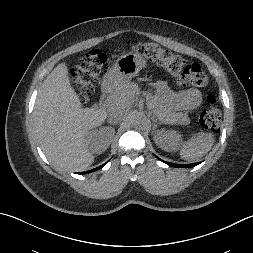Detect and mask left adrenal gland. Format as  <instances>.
<instances>
[{"label": "left adrenal gland", "mask_w": 253, "mask_h": 253, "mask_svg": "<svg viewBox=\"0 0 253 253\" xmlns=\"http://www.w3.org/2000/svg\"><path fill=\"white\" fill-rule=\"evenodd\" d=\"M154 122H157V119H154ZM155 126H156V124H155Z\"/></svg>", "instance_id": "1"}]
</instances>
